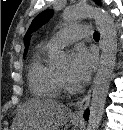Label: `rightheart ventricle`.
I'll return each mask as SVG.
<instances>
[{"label": "right heart ventricle", "mask_w": 123, "mask_h": 130, "mask_svg": "<svg viewBox=\"0 0 123 130\" xmlns=\"http://www.w3.org/2000/svg\"><path fill=\"white\" fill-rule=\"evenodd\" d=\"M56 48L48 43L36 49L28 67V81L31 92L41 99H54L59 96L61 83L57 71L49 62V56Z\"/></svg>", "instance_id": "e07e8e85"}]
</instances>
